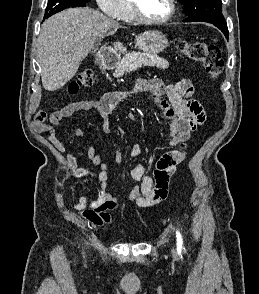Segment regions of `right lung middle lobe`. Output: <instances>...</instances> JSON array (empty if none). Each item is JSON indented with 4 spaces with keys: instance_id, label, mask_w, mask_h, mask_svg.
<instances>
[{
    "instance_id": "1",
    "label": "right lung middle lobe",
    "mask_w": 259,
    "mask_h": 294,
    "mask_svg": "<svg viewBox=\"0 0 259 294\" xmlns=\"http://www.w3.org/2000/svg\"><path fill=\"white\" fill-rule=\"evenodd\" d=\"M90 0H49L47 8L45 10L44 19L52 16L53 14L60 12L70 7H83L85 3Z\"/></svg>"
}]
</instances>
